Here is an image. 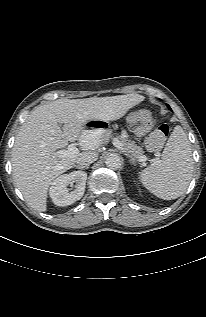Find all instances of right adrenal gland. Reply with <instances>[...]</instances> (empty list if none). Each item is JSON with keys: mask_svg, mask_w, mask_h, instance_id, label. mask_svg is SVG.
<instances>
[{"mask_svg": "<svg viewBox=\"0 0 206 317\" xmlns=\"http://www.w3.org/2000/svg\"><path fill=\"white\" fill-rule=\"evenodd\" d=\"M74 167H76V168H78V169H88L89 168V165H87V166H84V167H80V166H77V165H75Z\"/></svg>", "mask_w": 206, "mask_h": 317, "instance_id": "obj_1", "label": "right adrenal gland"}]
</instances>
